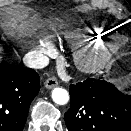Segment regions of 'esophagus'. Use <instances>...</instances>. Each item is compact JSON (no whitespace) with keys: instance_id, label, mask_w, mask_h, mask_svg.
<instances>
[{"instance_id":"obj_1","label":"esophagus","mask_w":131,"mask_h":131,"mask_svg":"<svg viewBox=\"0 0 131 131\" xmlns=\"http://www.w3.org/2000/svg\"><path fill=\"white\" fill-rule=\"evenodd\" d=\"M58 85V81L55 77H50L45 81V87L47 89H52Z\"/></svg>"}]
</instances>
